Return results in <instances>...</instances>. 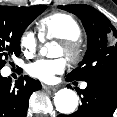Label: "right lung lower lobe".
Listing matches in <instances>:
<instances>
[{"mask_svg": "<svg viewBox=\"0 0 117 117\" xmlns=\"http://www.w3.org/2000/svg\"><path fill=\"white\" fill-rule=\"evenodd\" d=\"M41 89L40 82L21 76L15 84L0 75V117H26L30 95Z\"/></svg>", "mask_w": 117, "mask_h": 117, "instance_id": "1", "label": "right lung lower lobe"}]
</instances>
